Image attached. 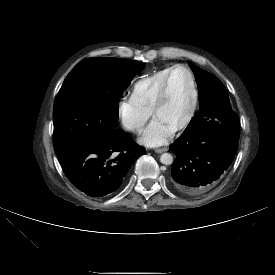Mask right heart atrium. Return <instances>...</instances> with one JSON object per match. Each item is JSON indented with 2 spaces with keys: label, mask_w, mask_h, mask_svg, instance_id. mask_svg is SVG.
<instances>
[{
  "label": "right heart atrium",
  "mask_w": 275,
  "mask_h": 275,
  "mask_svg": "<svg viewBox=\"0 0 275 275\" xmlns=\"http://www.w3.org/2000/svg\"><path fill=\"white\" fill-rule=\"evenodd\" d=\"M151 113V110L139 105L132 96L122 97L116 106V115L121 126L133 133L141 131Z\"/></svg>",
  "instance_id": "right-heart-atrium-1"
}]
</instances>
